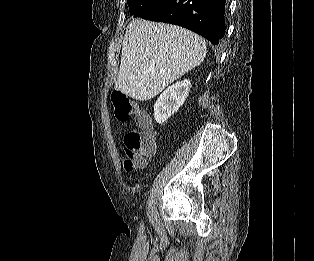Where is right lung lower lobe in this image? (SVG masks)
I'll return each instance as SVG.
<instances>
[{
    "instance_id": "right-lung-lower-lobe-1",
    "label": "right lung lower lobe",
    "mask_w": 314,
    "mask_h": 261,
    "mask_svg": "<svg viewBox=\"0 0 314 261\" xmlns=\"http://www.w3.org/2000/svg\"><path fill=\"white\" fill-rule=\"evenodd\" d=\"M226 0H166L142 18L175 24L218 44L224 37Z\"/></svg>"
}]
</instances>
